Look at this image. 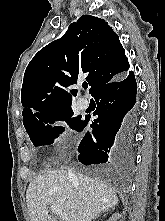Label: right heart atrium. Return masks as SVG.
Here are the masks:
<instances>
[{"mask_svg":"<svg viewBox=\"0 0 165 221\" xmlns=\"http://www.w3.org/2000/svg\"><path fill=\"white\" fill-rule=\"evenodd\" d=\"M54 129V147L57 152H62L71 138V130L65 120H57Z\"/></svg>","mask_w":165,"mask_h":221,"instance_id":"right-heart-atrium-1","label":"right heart atrium"}]
</instances>
